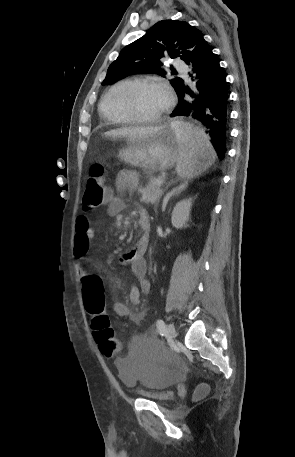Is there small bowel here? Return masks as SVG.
<instances>
[{
	"label": "small bowel",
	"instance_id": "small-bowel-1",
	"mask_svg": "<svg viewBox=\"0 0 295 457\" xmlns=\"http://www.w3.org/2000/svg\"><path fill=\"white\" fill-rule=\"evenodd\" d=\"M138 177L134 172L122 171L116 178V188L119 191H134L138 186ZM125 207L123 199L119 196L112 195L108 200L107 212L110 216H120ZM139 223L143 229V235L135 245V247L120 256V262L130 266L132 273L137 278V284L131 289L129 300L132 305H138L140 302L141 293L150 294L151 285L146 279L147 265L144 259L148 242H149V217L147 212L140 208L138 209ZM147 229H145V227ZM94 238V229L90 219L86 215H79L76 219V235L74 241V272L76 277L84 285L85 281L95 275L87 274L83 268V260L87 257L90 244ZM113 311L121 317H127L133 322H139V314L133 312L130 307L120 301L113 303ZM116 342V341H115ZM116 344H120L116 342ZM133 345H140L134 343Z\"/></svg>",
	"mask_w": 295,
	"mask_h": 457
}]
</instances>
